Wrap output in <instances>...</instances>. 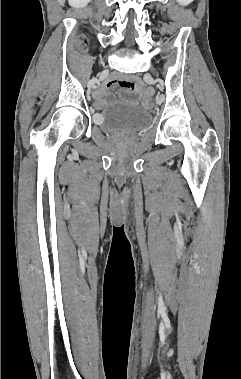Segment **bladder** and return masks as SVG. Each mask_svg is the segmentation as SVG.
<instances>
[{"label": "bladder", "mask_w": 241, "mask_h": 379, "mask_svg": "<svg viewBox=\"0 0 241 379\" xmlns=\"http://www.w3.org/2000/svg\"><path fill=\"white\" fill-rule=\"evenodd\" d=\"M151 123L150 113L130 103H115L100 116V128L110 134L131 135L146 129Z\"/></svg>", "instance_id": "31cf9c89"}]
</instances>
